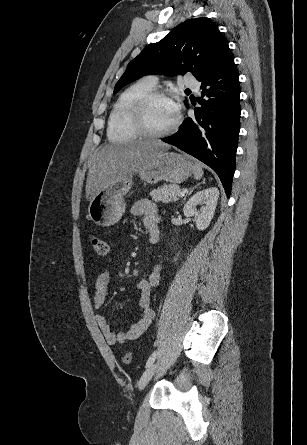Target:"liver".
Listing matches in <instances>:
<instances>
[{"mask_svg":"<svg viewBox=\"0 0 307 445\" xmlns=\"http://www.w3.org/2000/svg\"><path fill=\"white\" fill-rule=\"evenodd\" d=\"M171 144L162 140H131L124 144H105L93 158L86 180V198L92 200L102 188L114 180L126 178L168 150Z\"/></svg>","mask_w":307,"mask_h":445,"instance_id":"obj_1","label":"liver"}]
</instances>
